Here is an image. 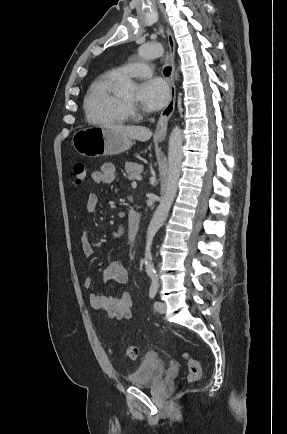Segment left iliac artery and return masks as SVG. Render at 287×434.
I'll return each mask as SVG.
<instances>
[{"label":"left iliac artery","mask_w":287,"mask_h":434,"mask_svg":"<svg viewBox=\"0 0 287 434\" xmlns=\"http://www.w3.org/2000/svg\"><path fill=\"white\" fill-rule=\"evenodd\" d=\"M149 276L151 278V286H150V290H149V296L150 298H154L156 296V293L158 291V287H159V281H158V276L157 273L155 271L149 272Z\"/></svg>","instance_id":"obj_1"}]
</instances>
